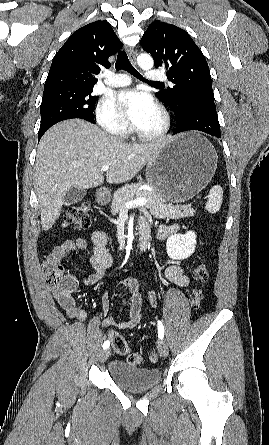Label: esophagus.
I'll return each mask as SVG.
<instances>
[{
	"mask_svg": "<svg viewBox=\"0 0 269 445\" xmlns=\"http://www.w3.org/2000/svg\"><path fill=\"white\" fill-rule=\"evenodd\" d=\"M127 53L132 63H136V53L132 48H127Z\"/></svg>",
	"mask_w": 269,
	"mask_h": 445,
	"instance_id": "34e87169",
	"label": "esophagus"
}]
</instances>
